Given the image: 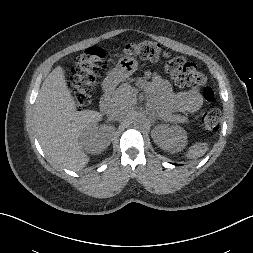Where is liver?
<instances>
[{
  "mask_svg": "<svg viewBox=\"0 0 253 253\" xmlns=\"http://www.w3.org/2000/svg\"><path fill=\"white\" fill-rule=\"evenodd\" d=\"M137 89L126 88L127 110L135 100ZM103 113L94 110L77 111L68 89L65 72L57 66L44 80L37 96L33 123L47 159L71 170H81L89 162L79 137L88 126L102 119Z\"/></svg>",
  "mask_w": 253,
  "mask_h": 253,
  "instance_id": "liver-1",
  "label": "liver"
}]
</instances>
